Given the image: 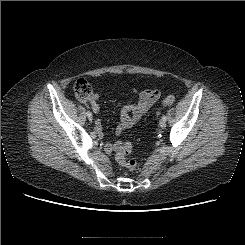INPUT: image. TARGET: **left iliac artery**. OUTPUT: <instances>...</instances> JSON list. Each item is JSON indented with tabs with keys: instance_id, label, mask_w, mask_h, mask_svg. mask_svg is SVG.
<instances>
[{
	"instance_id": "obj_1",
	"label": "left iliac artery",
	"mask_w": 245,
	"mask_h": 245,
	"mask_svg": "<svg viewBox=\"0 0 245 245\" xmlns=\"http://www.w3.org/2000/svg\"><path fill=\"white\" fill-rule=\"evenodd\" d=\"M162 119H163L164 121H166V120H167V117H166V116H163Z\"/></svg>"
}]
</instances>
